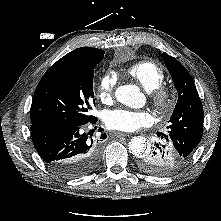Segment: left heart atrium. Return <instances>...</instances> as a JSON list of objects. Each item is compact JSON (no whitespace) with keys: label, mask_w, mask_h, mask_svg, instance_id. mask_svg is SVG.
<instances>
[{"label":"left heart atrium","mask_w":221,"mask_h":221,"mask_svg":"<svg viewBox=\"0 0 221 221\" xmlns=\"http://www.w3.org/2000/svg\"><path fill=\"white\" fill-rule=\"evenodd\" d=\"M109 129L133 132L152 123L153 118L148 111L118 108L108 110L103 117Z\"/></svg>","instance_id":"left-heart-atrium-1"}]
</instances>
